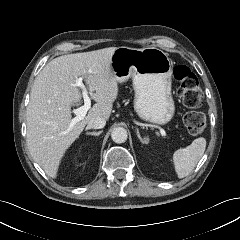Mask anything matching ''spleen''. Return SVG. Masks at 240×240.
Wrapping results in <instances>:
<instances>
[{"mask_svg":"<svg viewBox=\"0 0 240 240\" xmlns=\"http://www.w3.org/2000/svg\"><path fill=\"white\" fill-rule=\"evenodd\" d=\"M206 149V140L203 137L195 139L186 148L179 149L173 154V162L175 166V171L178 178H184L188 176Z\"/></svg>","mask_w":240,"mask_h":240,"instance_id":"obj_1","label":"spleen"}]
</instances>
